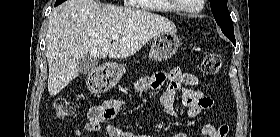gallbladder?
<instances>
[{
	"label": "gallbladder",
	"mask_w": 280,
	"mask_h": 137,
	"mask_svg": "<svg viewBox=\"0 0 280 137\" xmlns=\"http://www.w3.org/2000/svg\"><path fill=\"white\" fill-rule=\"evenodd\" d=\"M98 60L96 57L87 53L77 61V69L81 74H89L97 68Z\"/></svg>",
	"instance_id": "bac80fb5"
}]
</instances>
